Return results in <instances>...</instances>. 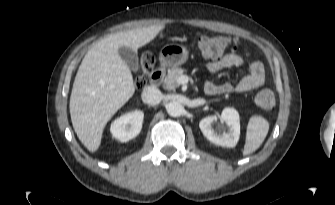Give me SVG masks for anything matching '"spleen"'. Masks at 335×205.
Segmentation results:
<instances>
[{"instance_id": "spleen-1", "label": "spleen", "mask_w": 335, "mask_h": 205, "mask_svg": "<svg viewBox=\"0 0 335 205\" xmlns=\"http://www.w3.org/2000/svg\"><path fill=\"white\" fill-rule=\"evenodd\" d=\"M269 130L268 121L262 116L254 115L247 125L246 141L243 155H249L256 151L264 142Z\"/></svg>"}]
</instances>
